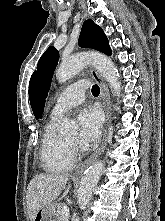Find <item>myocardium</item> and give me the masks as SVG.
<instances>
[{
	"label": "myocardium",
	"instance_id": "myocardium-1",
	"mask_svg": "<svg viewBox=\"0 0 165 221\" xmlns=\"http://www.w3.org/2000/svg\"><path fill=\"white\" fill-rule=\"evenodd\" d=\"M67 146L71 150L72 154L76 156H80L82 154V151L78 148L77 143H73L65 139Z\"/></svg>",
	"mask_w": 165,
	"mask_h": 221
}]
</instances>
